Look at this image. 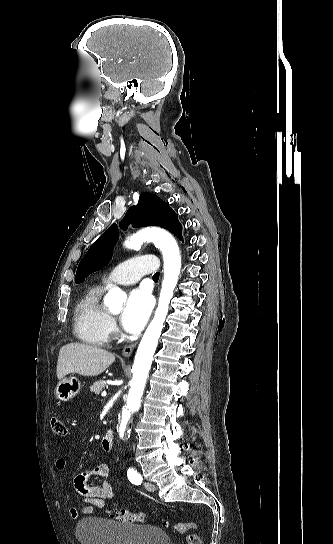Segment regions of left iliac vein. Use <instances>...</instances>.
Segmentation results:
<instances>
[{
    "label": "left iliac vein",
    "mask_w": 333,
    "mask_h": 544,
    "mask_svg": "<svg viewBox=\"0 0 333 544\" xmlns=\"http://www.w3.org/2000/svg\"><path fill=\"white\" fill-rule=\"evenodd\" d=\"M144 486H145L146 490H148L150 492L156 490L155 485L153 483H151V482H145Z\"/></svg>",
    "instance_id": "left-iliac-vein-1"
}]
</instances>
